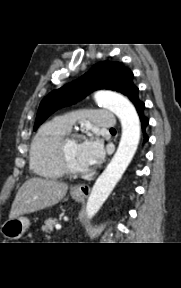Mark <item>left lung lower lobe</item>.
<instances>
[{
	"mask_svg": "<svg viewBox=\"0 0 181 288\" xmlns=\"http://www.w3.org/2000/svg\"><path fill=\"white\" fill-rule=\"evenodd\" d=\"M131 101L134 104V106L136 107V110L139 114L141 124H142V130L144 132V142H146L148 140V136L145 134V128L148 125L149 120L143 115V110L145 108V105L143 102H141L138 99V92L131 98Z\"/></svg>",
	"mask_w": 181,
	"mask_h": 288,
	"instance_id": "left-lung-lower-lobe-1",
	"label": "left lung lower lobe"
}]
</instances>
